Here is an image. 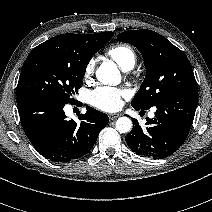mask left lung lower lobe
<instances>
[{"instance_id":"obj_1","label":"left lung lower lobe","mask_w":212,"mask_h":212,"mask_svg":"<svg viewBox=\"0 0 212 212\" xmlns=\"http://www.w3.org/2000/svg\"><path fill=\"white\" fill-rule=\"evenodd\" d=\"M198 92L174 95L156 106L153 119L141 127L133 119V129L125 141L136 154L154 159L173 154L185 141L196 111ZM135 110H143L134 107Z\"/></svg>"}]
</instances>
